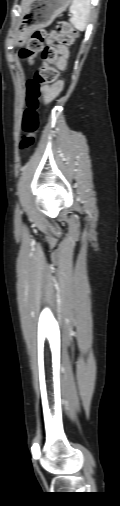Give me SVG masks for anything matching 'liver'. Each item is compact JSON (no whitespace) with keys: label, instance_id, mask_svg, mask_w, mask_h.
<instances>
[{"label":"liver","instance_id":"6515ba94","mask_svg":"<svg viewBox=\"0 0 120 506\" xmlns=\"http://www.w3.org/2000/svg\"><path fill=\"white\" fill-rule=\"evenodd\" d=\"M31 2H32V0H23L22 1L23 9H26Z\"/></svg>","mask_w":120,"mask_h":506}]
</instances>
